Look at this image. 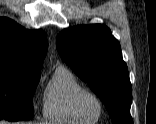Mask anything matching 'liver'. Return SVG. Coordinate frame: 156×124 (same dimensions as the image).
<instances>
[{"label": "liver", "mask_w": 156, "mask_h": 124, "mask_svg": "<svg viewBox=\"0 0 156 124\" xmlns=\"http://www.w3.org/2000/svg\"><path fill=\"white\" fill-rule=\"evenodd\" d=\"M0 124H5L4 122L0 121Z\"/></svg>", "instance_id": "1"}]
</instances>
